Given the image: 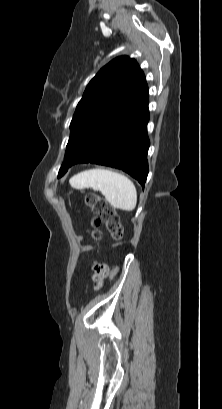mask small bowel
<instances>
[{
    "mask_svg": "<svg viewBox=\"0 0 222 409\" xmlns=\"http://www.w3.org/2000/svg\"><path fill=\"white\" fill-rule=\"evenodd\" d=\"M93 262L95 265L93 266V271L95 272L93 275V280L96 281L98 284H101L102 281L106 278L107 276V270L109 267V262L108 260H102L99 256H96L93 259Z\"/></svg>",
    "mask_w": 222,
    "mask_h": 409,
    "instance_id": "1",
    "label": "small bowel"
}]
</instances>
